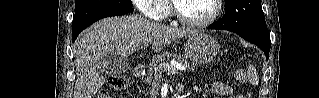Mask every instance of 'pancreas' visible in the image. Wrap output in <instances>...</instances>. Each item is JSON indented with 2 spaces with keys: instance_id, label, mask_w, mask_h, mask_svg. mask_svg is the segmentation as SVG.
I'll use <instances>...</instances> for the list:
<instances>
[{
  "instance_id": "cf45deb5",
  "label": "pancreas",
  "mask_w": 319,
  "mask_h": 98,
  "mask_svg": "<svg viewBox=\"0 0 319 98\" xmlns=\"http://www.w3.org/2000/svg\"><path fill=\"white\" fill-rule=\"evenodd\" d=\"M166 58L174 59L177 62L186 66L187 68H190V64L187 62V60H184L183 58H181L180 55H177L173 52H163V53L157 54L153 58L152 63H150L149 70L146 75V80L148 83L151 82V80L154 78L155 75H159L163 72V71H157L156 66L162 61H164Z\"/></svg>"
}]
</instances>
